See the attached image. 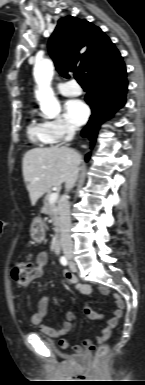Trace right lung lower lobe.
I'll use <instances>...</instances> for the list:
<instances>
[{
	"mask_svg": "<svg viewBox=\"0 0 145 385\" xmlns=\"http://www.w3.org/2000/svg\"><path fill=\"white\" fill-rule=\"evenodd\" d=\"M86 82L88 93L85 100L91 107L92 115L81 135L89 138L93 146L101 123L125 104L127 92L125 64L122 61L112 71L89 77ZM89 156L90 154H87L85 159L88 160Z\"/></svg>",
	"mask_w": 145,
	"mask_h": 385,
	"instance_id": "obj_1",
	"label": "right lung lower lobe"
}]
</instances>
